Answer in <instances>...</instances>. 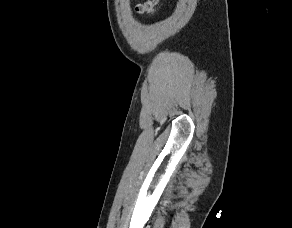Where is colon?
Returning a JSON list of instances; mask_svg holds the SVG:
<instances>
[{
	"instance_id": "obj_1",
	"label": "colon",
	"mask_w": 292,
	"mask_h": 228,
	"mask_svg": "<svg viewBox=\"0 0 292 228\" xmlns=\"http://www.w3.org/2000/svg\"><path fill=\"white\" fill-rule=\"evenodd\" d=\"M158 3L159 0H145L143 2H138L135 6V11L138 14H150L154 11Z\"/></svg>"
}]
</instances>
